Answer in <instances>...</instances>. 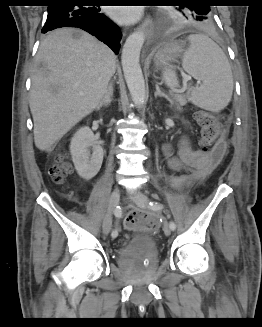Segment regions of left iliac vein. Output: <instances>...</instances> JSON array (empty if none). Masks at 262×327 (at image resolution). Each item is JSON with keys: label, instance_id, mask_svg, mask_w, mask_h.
Here are the masks:
<instances>
[{"label": "left iliac vein", "instance_id": "1", "mask_svg": "<svg viewBox=\"0 0 262 327\" xmlns=\"http://www.w3.org/2000/svg\"><path fill=\"white\" fill-rule=\"evenodd\" d=\"M132 200L141 207H146L149 202L148 197L139 191L135 192L132 195ZM163 231L166 236H169L171 234V228L167 223L164 224Z\"/></svg>", "mask_w": 262, "mask_h": 327}]
</instances>
